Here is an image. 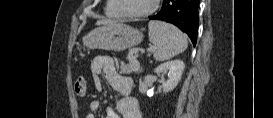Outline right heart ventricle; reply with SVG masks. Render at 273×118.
<instances>
[{
	"mask_svg": "<svg viewBox=\"0 0 273 118\" xmlns=\"http://www.w3.org/2000/svg\"><path fill=\"white\" fill-rule=\"evenodd\" d=\"M104 12L107 16L111 17H122L123 14L117 6L116 0H108L105 7Z\"/></svg>",
	"mask_w": 273,
	"mask_h": 118,
	"instance_id": "right-heart-ventricle-1",
	"label": "right heart ventricle"
}]
</instances>
